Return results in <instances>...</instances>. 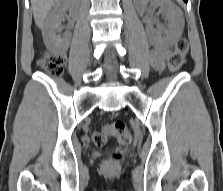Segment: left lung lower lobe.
<instances>
[{"label":"left lung lower lobe","instance_id":"1","mask_svg":"<svg viewBox=\"0 0 223 191\" xmlns=\"http://www.w3.org/2000/svg\"><path fill=\"white\" fill-rule=\"evenodd\" d=\"M185 3H187L188 2V0H183Z\"/></svg>","mask_w":223,"mask_h":191}]
</instances>
